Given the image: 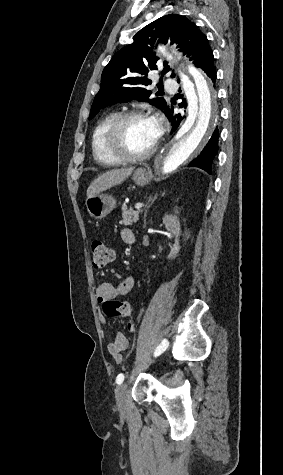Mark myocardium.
I'll use <instances>...</instances> for the list:
<instances>
[{"label":"myocardium","instance_id":"obj_1","mask_svg":"<svg viewBox=\"0 0 283 475\" xmlns=\"http://www.w3.org/2000/svg\"><path fill=\"white\" fill-rule=\"evenodd\" d=\"M141 117H147L144 111L141 110H132L128 112H124L120 114L111 126L108 129V132L105 136L104 143L102 146V151L107 150L111 145L119 143L121 134L123 132L124 126L131 120ZM159 146L158 139L154 146L145 154L138 156V157H117L112 158L108 156H102L104 162H135L136 164L144 163L145 161L149 160L153 154L157 151Z\"/></svg>","mask_w":283,"mask_h":475}]
</instances>
